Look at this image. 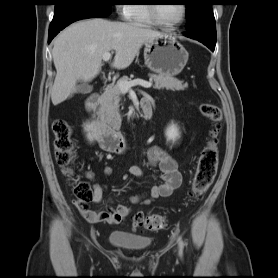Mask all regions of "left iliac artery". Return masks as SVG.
<instances>
[{
    "instance_id": "1",
    "label": "left iliac artery",
    "mask_w": 278,
    "mask_h": 278,
    "mask_svg": "<svg viewBox=\"0 0 278 278\" xmlns=\"http://www.w3.org/2000/svg\"><path fill=\"white\" fill-rule=\"evenodd\" d=\"M178 241H179V247H180V249H182L184 246V243L181 238H179Z\"/></svg>"
}]
</instances>
